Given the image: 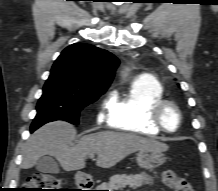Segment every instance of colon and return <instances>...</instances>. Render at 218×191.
Segmentation results:
<instances>
[{
    "mask_svg": "<svg viewBox=\"0 0 218 191\" xmlns=\"http://www.w3.org/2000/svg\"><path fill=\"white\" fill-rule=\"evenodd\" d=\"M161 178L174 191H194L189 180L178 176L172 169H164ZM64 186L65 180L61 177L37 173L30 177L23 191H65Z\"/></svg>",
    "mask_w": 218,
    "mask_h": 191,
    "instance_id": "5ec220e1",
    "label": "colon"
}]
</instances>
